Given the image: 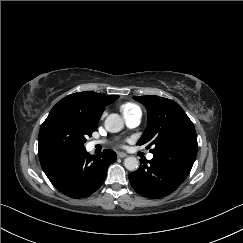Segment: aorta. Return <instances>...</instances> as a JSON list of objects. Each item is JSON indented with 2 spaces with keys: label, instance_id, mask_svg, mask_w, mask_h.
<instances>
[{
  "label": "aorta",
  "instance_id": "762f6f07",
  "mask_svg": "<svg viewBox=\"0 0 243 243\" xmlns=\"http://www.w3.org/2000/svg\"><path fill=\"white\" fill-rule=\"evenodd\" d=\"M123 119L116 113L110 114L105 120V128L111 133L119 132L123 129ZM124 166L129 171H135L139 168V160L136 157H127Z\"/></svg>",
  "mask_w": 243,
  "mask_h": 243
}]
</instances>
